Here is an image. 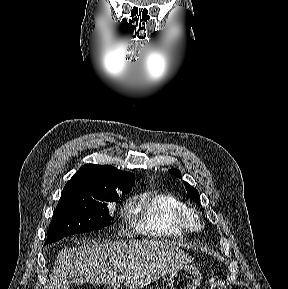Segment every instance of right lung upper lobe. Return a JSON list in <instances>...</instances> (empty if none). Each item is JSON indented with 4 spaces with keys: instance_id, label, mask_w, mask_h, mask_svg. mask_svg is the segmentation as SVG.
<instances>
[{
    "instance_id": "1",
    "label": "right lung upper lobe",
    "mask_w": 288,
    "mask_h": 289,
    "mask_svg": "<svg viewBox=\"0 0 288 289\" xmlns=\"http://www.w3.org/2000/svg\"><path fill=\"white\" fill-rule=\"evenodd\" d=\"M134 175L109 165H83L67 182L62 193L97 194L131 190Z\"/></svg>"
}]
</instances>
